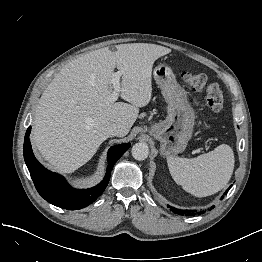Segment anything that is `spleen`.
<instances>
[{
    "instance_id": "1",
    "label": "spleen",
    "mask_w": 262,
    "mask_h": 262,
    "mask_svg": "<svg viewBox=\"0 0 262 262\" xmlns=\"http://www.w3.org/2000/svg\"><path fill=\"white\" fill-rule=\"evenodd\" d=\"M167 163L178 185L196 197H206L217 193L229 182L234 169V154L230 146L221 144L193 159L168 157Z\"/></svg>"
}]
</instances>
